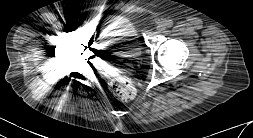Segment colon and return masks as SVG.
Instances as JSON below:
<instances>
[{
    "label": "colon",
    "mask_w": 253,
    "mask_h": 138,
    "mask_svg": "<svg viewBox=\"0 0 253 138\" xmlns=\"http://www.w3.org/2000/svg\"><path fill=\"white\" fill-rule=\"evenodd\" d=\"M111 93L118 99L127 101L134 97L135 88L131 81L126 78H117L110 83Z\"/></svg>",
    "instance_id": "1"
}]
</instances>
